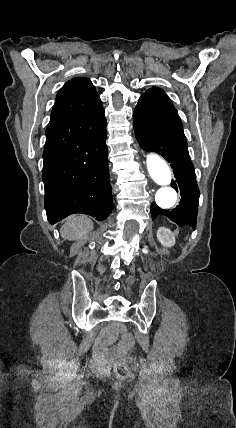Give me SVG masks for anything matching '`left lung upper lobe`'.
<instances>
[{"mask_svg":"<svg viewBox=\"0 0 236 428\" xmlns=\"http://www.w3.org/2000/svg\"><path fill=\"white\" fill-rule=\"evenodd\" d=\"M138 104H153L159 107H174L170 98L159 88L148 89L140 97Z\"/></svg>","mask_w":236,"mask_h":428,"instance_id":"obj_1","label":"left lung upper lobe"}]
</instances>
